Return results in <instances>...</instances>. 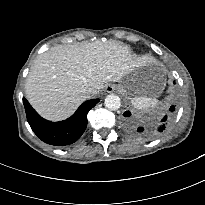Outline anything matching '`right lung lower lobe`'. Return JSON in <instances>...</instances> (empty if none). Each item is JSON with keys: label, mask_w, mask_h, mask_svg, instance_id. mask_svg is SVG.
Segmentation results:
<instances>
[{"label": "right lung lower lobe", "mask_w": 205, "mask_h": 205, "mask_svg": "<svg viewBox=\"0 0 205 205\" xmlns=\"http://www.w3.org/2000/svg\"><path fill=\"white\" fill-rule=\"evenodd\" d=\"M98 102L99 99L88 100L70 118L51 122L40 117L23 98L27 120L33 132L45 143L55 146L72 144L81 137L87 126V114Z\"/></svg>", "instance_id": "1"}]
</instances>
